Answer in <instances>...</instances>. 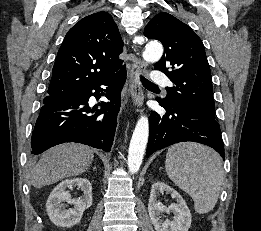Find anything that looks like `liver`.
Returning <instances> with one entry per match:
<instances>
[{"instance_id": "obj_1", "label": "liver", "mask_w": 261, "mask_h": 231, "mask_svg": "<svg viewBox=\"0 0 261 231\" xmlns=\"http://www.w3.org/2000/svg\"><path fill=\"white\" fill-rule=\"evenodd\" d=\"M93 150L82 144L66 143L46 151L32 169L30 183L35 188L56 183L85 172L93 161Z\"/></svg>"}]
</instances>
